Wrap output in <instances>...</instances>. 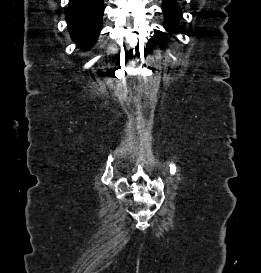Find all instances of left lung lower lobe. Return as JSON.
Listing matches in <instances>:
<instances>
[{
	"mask_svg": "<svg viewBox=\"0 0 261 273\" xmlns=\"http://www.w3.org/2000/svg\"><path fill=\"white\" fill-rule=\"evenodd\" d=\"M162 10L165 17L164 26L169 32H172L178 25L181 10L176 0H163Z\"/></svg>",
	"mask_w": 261,
	"mask_h": 273,
	"instance_id": "obj_1",
	"label": "left lung lower lobe"
}]
</instances>
